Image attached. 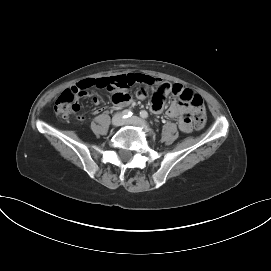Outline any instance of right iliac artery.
<instances>
[{
  "instance_id": "obj_1",
  "label": "right iliac artery",
  "mask_w": 271,
  "mask_h": 271,
  "mask_svg": "<svg viewBox=\"0 0 271 271\" xmlns=\"http://www.w3.org/2000/svg\"><path fill=\"white\" fill-rule=\"evenodd\" d=\"M130 116H132V111H131V110H124V111L122 112V117H123V118H128V117H130Z\"/></svg>"
}]
</instances>
